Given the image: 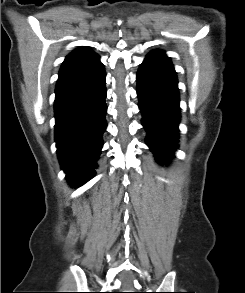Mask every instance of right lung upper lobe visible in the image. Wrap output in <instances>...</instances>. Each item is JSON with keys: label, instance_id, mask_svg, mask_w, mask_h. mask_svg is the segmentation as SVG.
Returning a JSON list of instances; mask_svg holds the SVG:
<instances>
[{"label": "right lung upper lobe", "instance_id": "obj_1", "mask_svg": "<svg viewBox=\"0 0 245 293\" xmlns=\"http://www.w3.org/2000/svg\"><path fill=\"white\" fill-rule=\"evenodd\" d=\"M101 66L99 56L90 49L83 47L74 50L66 57L61 66L56 90L94 73Z\"/></svg>", "mask_w": 245, "mask_h": 293}]
</instances>
